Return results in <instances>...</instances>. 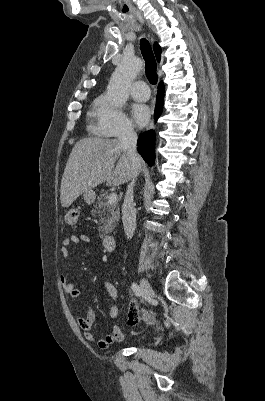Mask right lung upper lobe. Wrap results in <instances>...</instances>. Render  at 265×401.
Segmentation results:
<instances>
[{"instance_id": "cb5924a9", "label": "right lung upper lobe", "mask_w": 265, "mask_h": 401, "mask_svg": "<svg viewBox=\"0 0 265 401\" xmlns=\"http://www.w3.org/2000/svg\"><path fill=\"white\" fill-rule=\"evenodd\" d=\"M154 52H155L157 61L159 62L160 61V55H161V48L157 43L154 44Z\"/></svg>"}]
</instances>
